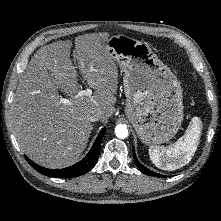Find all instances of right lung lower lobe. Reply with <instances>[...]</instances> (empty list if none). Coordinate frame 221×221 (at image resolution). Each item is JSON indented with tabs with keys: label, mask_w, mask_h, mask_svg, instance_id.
Masks as SVG:
<instances>
[{
	"label": "right lung lower lobe",
	"mask_w": 221,
	"mask_h": 221,
	"mask_svg": "<svg viewBox=\"0 0 221 221\" xmlns=\"http://www.w3.org/2000/svg\"><path fill=\"white\" fill-rule=\"evenodd\" d=\"M105 130L106 128H103L102 131L99 133L95 143L93 144L92 148L90 149L89 153L85 156V158H83L80 162L70 167L63 169H47L35 164L26 156L25 158L35 170H37L43 175L56 178H71L81 176L87 173L96 164L99 157L101 141L104 136Z\"/></svg>",
	"instance_id": "right-lung-lower-lobe-1"
}]
</instances>
